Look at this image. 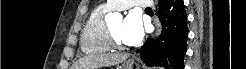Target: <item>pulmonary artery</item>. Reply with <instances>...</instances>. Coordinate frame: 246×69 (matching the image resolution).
I'll list each match as a JSON object with an SVG mask.
<instances>
[{
    "instance_id": "e3ab8cb5",
    "label": "pulmonary artery",
    "mask_w": 246,
    "mask_h": 69,
    "mask_svg": "<svg viewBox=\"0 0 246 69\" xmlns=\"http://www.w3.org/2000/svg\"><path fill=\"white\" fill-rule=\"evenodd\" d=\"M107 4L112 10H123V9H127L132 5L150 8L152 5V3L149 1H134V0H122V1L108 0Z\"/></svg>"
}]
</instances>
